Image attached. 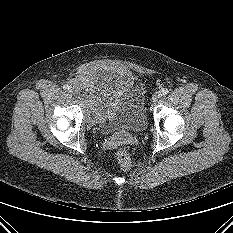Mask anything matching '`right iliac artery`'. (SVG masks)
<instances>
[{
	"mask_svg": "<svg viewBox=\"0 0 233 233\" xmlns=\"http://www.w3.org/2000/svg\"><path fill=\"white\" fill-rule=\"evenodd\" d=\"M63 89H64V90H69V89H70V87H69V85H68V84H65V85L63 86Z\"/></svg>",
	"mask_w": 233,
	"mask_h": 233,
	"instance_id": "1",
	"label": "right iliac artery"
}]
</instances>
